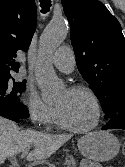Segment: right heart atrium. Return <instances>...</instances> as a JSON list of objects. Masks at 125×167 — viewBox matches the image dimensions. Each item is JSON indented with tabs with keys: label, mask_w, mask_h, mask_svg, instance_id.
Returning <instances> with one entry per match:
<instances>
[{
	"label": "right heart atrium",
	"mask_w": 125,
	"mask_h": 167,
	"mask_svg": "<svg viewBox=\"0 0 125 167\" xmlns=\"http://www.w3.org/2000/svg\"><path fill=\"white\" fill-rule=\"evenodd\" d=\"M24 102L30 119L36 126L48 127L55 121L56 109L46 104L35 89L28 88L26 90ZM90 164L95 166L94 163Z\"/></svg>",
	"instance_id": "right-heart-atrium-1"
}]
</instances>
